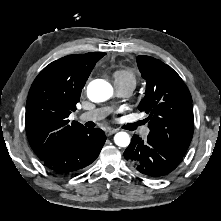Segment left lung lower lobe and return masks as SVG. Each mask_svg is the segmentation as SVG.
<instances>
[{"mask_svg": "<svg viewBox=\"0 0 221 221\" xmlns=\"http://www.w3.org/2000/svg\"><path fill=\"white\" fill-rule=\"evenodd\" d=\"M124 157L139 173L159 178L172 172L184 156L155 138L148 136L147 140L143 141L138 135H134Z\"/></svg>", "mask_w": 221, "mask_h": 221, "instance_id": "obj_1", "label": "left lung lower lobe"}]
</instances>
